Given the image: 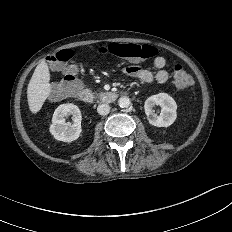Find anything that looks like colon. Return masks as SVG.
Wrapping results in <instances>:
<instances>
[{
    "instance_id": "1",
    "label": "colon",
    "mask_w": 232,
    "mask_h": 232,
    "mask_svg": "<svg viewBox=\"0 0 232 232\" xmlns=\"http://www.w3.org/2000/svg\"><path fill=\"white\" fill-rule=\"evenodd\" d=\"M100 54H110L131 62H141L154 57L157 49L151 45H138L131 43H111L98 49ZM73 57V52L69 49L60 50L51 54L47 60L52 66L63 68V78L56 84L51 92L52 97L61 99L78 92L81 87L79 79V69L68 62ZM174 83L180 90L189 89L193 80L190 74L180 65L174 66Z\"/></svg>"
}]
</instances>
